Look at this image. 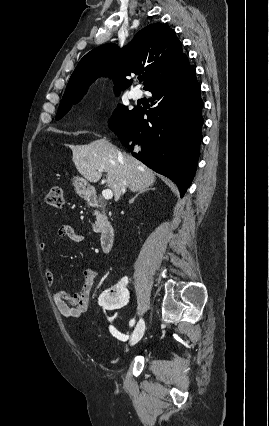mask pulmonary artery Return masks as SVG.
I'll return each mask as SVG.
<instances>
[{
  "label": "pulmonary artery",
  "instance_id": "1",
  "mask_svg": "<svg viewBox=\"0 0 269 426\" xmlns=\"http://www.w3.org/2000/svg\"><path fill=\"white\" fill-rule=\"evenodd\" d=\"M142 96V92L138 88H134L130 91V97L134 100L140 99Z\"/></svg>",
  "mask_w": 269,
  "mask_h": 426
}]
</instances>
